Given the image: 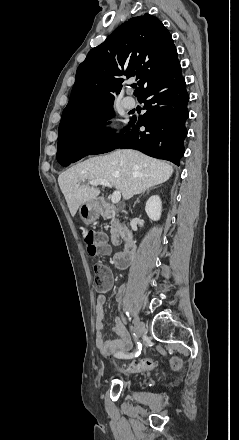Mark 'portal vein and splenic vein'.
Instances as JSON below:
<instances>
[{
    "label": "portal vein and splenic vein",
    "instance_id": "18ae733b",
    "mask_svg": "<svg viewBox=\"0 0 239 440\" xmlns=\"http://www.w3.org/2000/svg\"><path fill=\"white\" fill-rule=\"evenodd\" d=\"M90 186H106V188H112L111 184L109 182H106V180H91L89 182ZM121 200V192H113L111 202L112 204H118Z\"/></svg>",
    "mask_w": 239,
    "mask_h": 440
}]
</instances>
